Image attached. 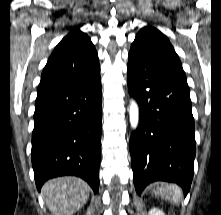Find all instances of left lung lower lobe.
Masks as SVG:
<instances>
[{"mask_svg":"<svg viewBox=\"0 0 221 215\" xmlns=\"http://www.w3.org/2000/svg\"><path fill=\"white\" fill-rule=\"evenodd\" d=\"M128 90L140 120L130 138L134 184L140 195L154 181L174 182L185 196L196 143L189 87L182 65L169 59L129 54Z\"/></svg>","mask_w":221,"mask_h":215,"instance_id":"1","label":"left lung lower lobe"}]
</instances>
